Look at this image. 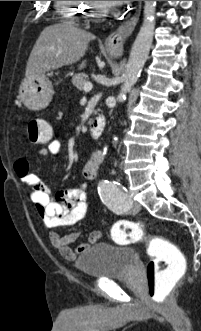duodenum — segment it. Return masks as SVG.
I'll return each mask as SVG.
<instances>
[{
	"mask_svg": "<svg viewBox=\"0 0 201 331\" xmlns=\"http://www.w3.org/2000/svg\"><path fill=\"white\" fill-rule=\"evenodd\" d=\"M106 120L103 115H96L89 126L90 133L94 139H98L104 132Z\"/></svg>",
	"mask_w": 201,
	"mask_h": 331,
	"instance_id": "1",
	"label": "duodenum"
}]
</instances>
